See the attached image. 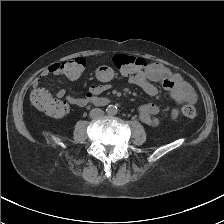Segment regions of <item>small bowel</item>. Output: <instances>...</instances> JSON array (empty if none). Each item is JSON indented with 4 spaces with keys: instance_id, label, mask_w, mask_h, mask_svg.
<instances>
[{
    "instance_id": "c3829d8e",
    "label": "small bowel",
    "mask_w": 224,
    "mask_h": 224,
    "mask_svg": "<svg viewBox=\"0 0 224 224\" xmlns=\"http://www.w3.org/2000/svg\"><path fill=\"white\" fill-rule=\"evenodd\" d=\"M58 65L59 62L46 67L33 81V87L38 89L41 81L49 75L61 76ZM95 77L100 84L91 85L85 97L67 95L65 89H59L56 95L58 98H65L70 104L78 107H83L88 103H92L101 93L111 89L113 71L106 66H101L95 71ZM128 80L131 84L138 86L152 97H156L159 94V90L154 83H160L163 89L169 93L171 100L175 103V107L172 108L170 113L173 120L179 117V106L183 102L193 103L196 101V94L192 86L186 82L180 74L159 62L150 63L145 70L135 75H129ZM159 111L160 108L155 104L141 105L137 109L140 120L152 127H157L161 124V120L156 116Z\"/></svg>"
}]
</instances>
